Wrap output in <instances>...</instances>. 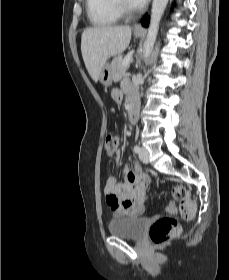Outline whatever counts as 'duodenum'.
<instances>
[{"label":"duodenum","instance_id":"obj_1","mask_svg":"<svg viewBox=\"0 0 229 280\" xmlns=\"http://www.w3.org/2000/svg\"><path fill=\"white\" fill-rule=\"evenodd\" d=\"M127 106H128V110H127L128 122L131 125H134L137 122L138 114H139V97L136 92L131 91L129 93Z\"/></svg>","mask_w":229,"mask_h":280}]
</instances>
